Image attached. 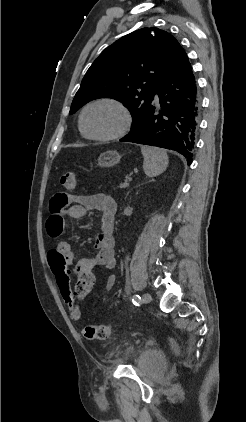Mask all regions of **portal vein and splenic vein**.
Returning a JSON list of instances; mask_svg holds the SVG:
<instances>
[{"label": "portal vein and splenic vein", "mask_w": 246, "mask_h": 422, "mask_svg": "<svg viewBox=\"0 0 246 422\" xmlns=\"http://www.w3.org/2000/svg\"><path fill=\"white\" fill-rule=\"evenodd\" d=\"M131 181H132V177H129L125 184H129V182H131Z\"/></svg>", "instance_id": "1"}]
</instances>
